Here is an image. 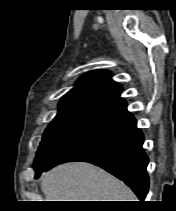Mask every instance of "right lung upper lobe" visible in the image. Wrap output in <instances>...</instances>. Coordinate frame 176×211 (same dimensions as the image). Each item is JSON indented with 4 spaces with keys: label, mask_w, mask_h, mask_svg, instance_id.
I'll use <instances>...</instances> for the list:
<instances>
[{
    "label": "right lung upper lobe",
    "mask_w": 176,
    "mask_h": 211,
    "mask_svg": "<svg viewBox=\"0 0 176 211\" xmlns=\"http://www.w3.org/2000/svg\"><path fill=\"white\" fill-rule=\"evenodd\" d=\"M111 76L109 71L96 70L80 77L60 100L56 117L99 124L127 113V103L120 97L123 88Z\"/></svg>",
    "instance_id": "right-lung-upper-lobe-1"
}]
</instances>
